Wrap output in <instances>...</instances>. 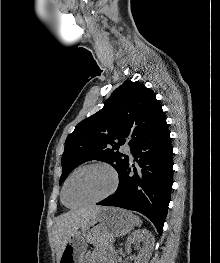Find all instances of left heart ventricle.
Listing matches in <instances>:
<instances>
[{"label":"left heart ventricle","mask_w":220,"mask_h":263,"mask_svg":"<svg viewBox=\"0 0 220 263\" xmlns=\"http://www.w3.org/2000/svg\"><path fill=\"white\" fill-rule=\"evenodd\" d=\"M112 184L110 173L101 167H91L78 172L70 180L66 191L69 205L80 204L106 193Z\"/></svg>","instance_id":"b2bd125f"}]
</instances>
